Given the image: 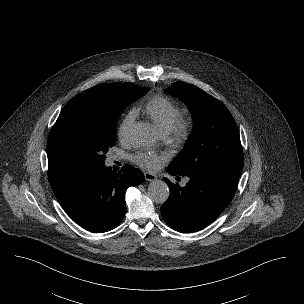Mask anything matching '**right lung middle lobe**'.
Masks as SVG:
<instances>
[{
  "label": "right lung middle lobe",
  "instance_id": "obj_1",
  "mask_svg": "<svg viewBox=\"0 0 304 304\" xmlns=\"http://www.w3.org/2000/svg\"><path fill=\"white\" fill-rule=\"evenodd\" d=\"M148 89L128 83L115 97L67 103L50 131L48 142L85 170L104 165L105 154L116 143L119 115Z\"/></svg>",
  "mask_w": 304,
  "mask_h": 304
}]
</instances>
